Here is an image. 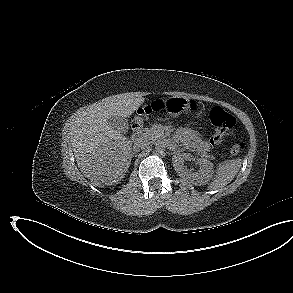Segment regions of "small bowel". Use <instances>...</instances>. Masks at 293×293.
I'll use <instances>...</instances> for the list:
<instances>
[{"instance_id": "c3829d8e", "label": "small bowel", "mask_w": 293, "mask_h": 293, "mask_svg": "<svg viewBox=\"0 0 293 293\" xmlns=\"http://www.w3.org/2000/svg\"><path fill=\"white\" fill-rule=\"evenodd\" d=\"M178 137L191 149L199 151H205L208 149V143L191 129H181L178 132Z\"/></svg>"}]
</instances>
